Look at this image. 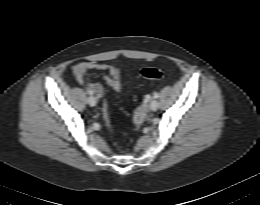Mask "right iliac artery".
<instances>
[{
	"instance_id": "82829eb1",
	"label": "right iliac artery",
	"mask_w": 260,
	"mask_h": 205,
	"mask_svg": "<svg viewBox=\"0 0 260 205\" xmlns=\"http://www.w3.org/2000/svg\"><path fill=\"white\" fill-rule=\"evenodd\" d=\"M88 94L92 95V94H93V92H92V91H90V90H88Z\"/></svg>"
}]
</instances>
